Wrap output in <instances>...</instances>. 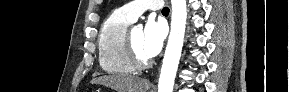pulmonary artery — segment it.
Instances as JSON below:
<instances>
[{"instance_id": "1", "label": "pulmonary artery", "mask_w": 289, "mask_h": 92, "mask_svg": "<svg viewBox=\"0 0 289 92\" xmlns=\"http://www.w3.org/2000/svg\"><path fill=\"white\" fill-rule=\"evenodd\" d=\"M163 7L161 0H136L123 5L119 10L127 18L135 21L144 11L159 10Z\"/></svg>"}]
</instances>
